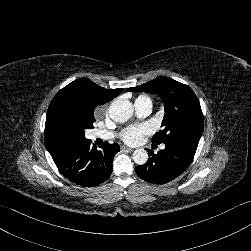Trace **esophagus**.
Here are the masks:
<instances>
[{"label": "esophagus", "instance_id": "1", "mask_svg": "<svg viewBox=\"0 0 251 251\" xmlns=\"http://www.w3.org/2000/svg\"><path fill=\"white\" fill-rule=\"evenodd\" d=\"M121 150H122V151H125V150L133 151L132 148L127 147V146H121Z\"/></svg>", "mask_w": 251, "mask_h": 251}]
</instances>
